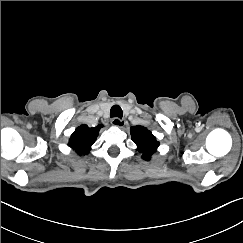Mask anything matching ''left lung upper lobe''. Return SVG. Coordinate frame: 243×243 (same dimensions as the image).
<instances>
[{
  "label": "left lung upper lobe",
  "instance_id": "obj_1",
  "mask_svg": "<svg viewBox=\"0 0 243 243\" xmlns=\"http://www.w3.org/2000/svg\"><path fill=\"white\" fill-rule=\"evenodd\" d=\"M130 134L137 149L142 153V158L150 160L151 155L159 146L156 137L145 127L137 125L130 128Z\"/></svg>",
  "mask_w": 243,
  "mask_h": 243
}]
</instances>
